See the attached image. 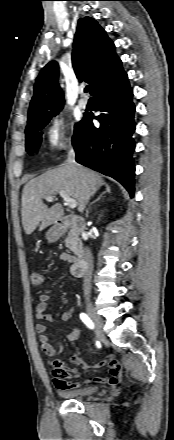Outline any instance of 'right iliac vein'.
<instances>
[{
    "label": "right iliac vein",
    "instance_id": "1",
    "mask_svg": "<svg viewBox=\"0 0 174 440\" xmlns=\"http://www.w3.org/2000/svg\"><path fill=\"white\" fill-rule=\"evenodd\" d=\"M87 312L89 314V316L91 317V319L93 320L95 329H96V337L99 341H104L105 340V336L103 333V322L101 317L95 313L94 309L88 305L87 306Z\"/></svg>",
    "mask_w": 174,
    "mask_h": 440
}]
</instances>
